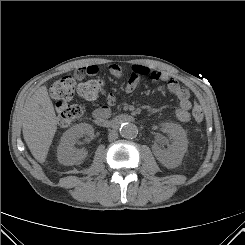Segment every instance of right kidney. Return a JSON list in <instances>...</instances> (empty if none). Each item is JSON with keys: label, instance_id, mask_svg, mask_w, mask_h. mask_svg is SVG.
Here are the masks:
<instances>
[{"label": "right kidney", "instance_id": "ca27d5eb", "mask_svg": "<svg viewBox=\"0 0 245 245\" xmlns=\"http://www.w3.org/2000/svg\"><path fill=\"white\" fill-rule=\"evenodd\" d=\"M94 129L86 123L77 124L68 129L61 137L60 144L57 149L58 161L63 165H74L82 162L87 156L84 149L75 148L78 139L88 137L92 139Z\"/></svg>", "mask_w": 245, "mask_h": 245}]
</instances>
